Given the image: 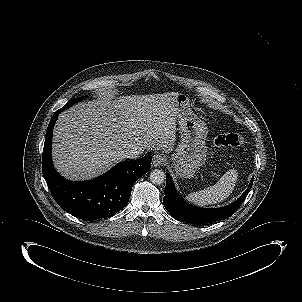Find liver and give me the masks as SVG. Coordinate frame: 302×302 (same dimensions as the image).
Here are the masks:
<instances>
[{"label":"liver","instance_id":"obj_1","mask_svg":"<svg viewBox=\"0 0 302 302\" xmlns=\"http://www.w3.org/2000/svg\"><path fill=\"white\" fill-rule=\"evenodd\" d=\"M178 94L119 96L62 112L53 131L55 168L68 179L87 180L124 160L122 151H172Z\"/></svg>","mask_w":302,"mask_h":302}]
</instances>
